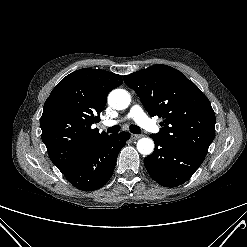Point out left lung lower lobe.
Segmentation results:
<instances>
[{
    "mask_svg": "<svg viewBox=\"0 0 247 247\" xmlns=\"http://www.w3.org/2000/svg\"><path fill=\"white\" fill-rule=\"evenodd\" d=\"M151 138L155 149L144 164L150 176L164 187L185 183L204 161L205 156L199 153L167 144L154 134Z\"/></svg>",
    "mask_w": 247,
    "mask_h": 247,
    "instance_id": "0a47b994",
    "label": "left lung lower lobe"
}]
</instances>
